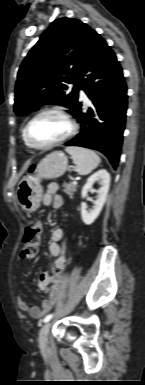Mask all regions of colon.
I'll return each mask as SVG.
<instances>
[{
  "instance_id": "1",
  "label": "colon",
  "mask_w": 145,
  "mask_h": 385,
  "mask_svg": "<svg viewBox=\"0 0 145 385\" xmlns=\"http://www.w3.org/2000/svg\"><path fill=\"white\" fill-rule=\"evenodd\" d=\"M35 166L31 167V171H34ZM42 223L37 221L35 224L30 225L26 228L23 236V246L20 251V258L23 261H31L35 258L41 234ZM64 261L62 259L58 260L53 264V272L60 274L64 270Z\"/></svg>"
}]
</instances>
